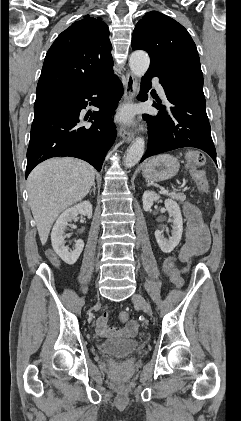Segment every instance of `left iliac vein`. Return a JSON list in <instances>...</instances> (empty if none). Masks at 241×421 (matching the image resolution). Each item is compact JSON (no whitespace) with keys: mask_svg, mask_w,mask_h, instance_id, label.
<instances>
[{"mask_svg":"<svg viewBox=\"0 0 241 421\" xmlns=\"http://www.w3.org/2000/svg\"><path fill=\"white\" fill-rule=\"evenodd\" d=\"M132 301L134 304L138 305L145 313L151 315V307L142 295L134 294L132 296Z\"/></svg>","mask_w":241,"mask_h":421,"instance_id":"obj_1","label":"left iliac vein"}]
</instances>
